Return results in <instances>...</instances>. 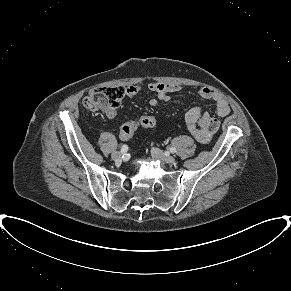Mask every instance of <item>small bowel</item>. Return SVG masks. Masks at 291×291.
I'll use <instances>...</instances> for the list:
<instances>
[{"mask_svg":"<svg viewBox=\"0 0 291 291\" xmlns=\"http://www.w3.org/2000/svg\"><path fill=\"white\" fill-rule=\"evenodd\" d=\"M148 89L156 94V97L149 101L151 107H157L160 102H168L171 99L170 94L180 90V87L173 83L152 82ZM141 86L129 85L125 88V96L133 99L140 91ZM200 97L212 100L216 103V114L224 117L230 114L231 108L223 95L209 87H203L198 91ZM108 118H114L117 115L116 109L105 111ZM185 123L190 134L200 143L210 142L213 134L218 130L220 122L218 119L210 116L206 111L199 107L191 108L185 114Z\"/></svg>","mask_w":291,"mask_h":291,"instance_id":"1","label":"small bowel"}]
</instances>
